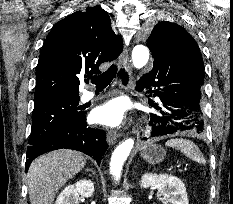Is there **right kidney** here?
Masks as SVG:
<instances>
[{
    "label": "right kidney",
    "mask_w": 233,
    "mask_h": 204,
    "mask_svg": "<svg viewBox=\"0 0 233 204\" xmlns=\"http://www.w3.org/2000/svg\"><path fill=\"white\" fill-rule=\"evenodd\" d=\"M94 193V183L91 180L82 179L74 185H68L59 194L55 204H78L79 196L91 197Z\"/></svg>",
    "instance_id": "obj_1"
}]
</instances>
